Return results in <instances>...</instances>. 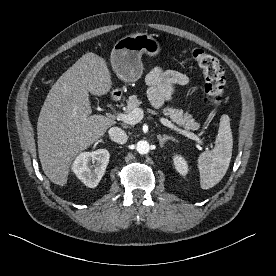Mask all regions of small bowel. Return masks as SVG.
Instances as JSON below:
<instances>
[{"label": "small bowel", "mask_w": 276, "mask_h": 276, "mask_svg": "<svg viewBox=\"0 0 276 276\" xmlns=\"http://www.w3.org/2000/svg\"><path fill=\"white\" fill-rule=\"evenodd\" d=\"M146 83L151 102L159 108L170 99L175 85L187 86L189 79L181 72L156 67L146 76Z\"/></svg>", "instance_id": "c3829d8e"}]
</instances>
